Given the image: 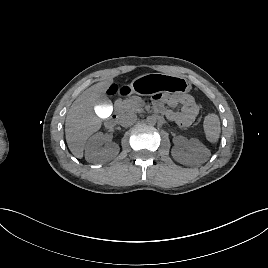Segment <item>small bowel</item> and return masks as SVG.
I'll use <instances>...</instances> for the list:
<instances>
[{
    "label": "small bowel",
    "mask_w": 268,
    "mask_h": 268,
    "mask_svg": "<svg viewBox=\"0 0 268 268\" xmlns=\"http://www.w3.org/2000/svg\"><path fill=\"white\" fill-rule=\"evenodd\" d=\"M181 106L180 110H175ZM156 111L163 113L178 126L186 128L192 125L199 113V106L190 95L173 96L156 94L154 97Z\"/></svg>",
    "instance_id": "obj_1"
}]
</instances>
